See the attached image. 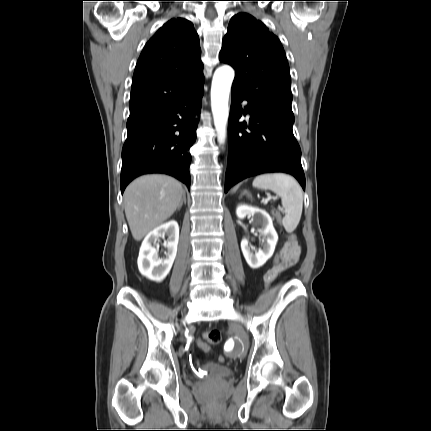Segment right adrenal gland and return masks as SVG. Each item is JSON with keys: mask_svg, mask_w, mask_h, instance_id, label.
Here are the masks:
<instances>
[{"mask_svg": "<svg viewBox=\"0 0 431 431\" xmlns=\"http://www.w3.org/2000/svg\"><path fill=\"white\" fill-rule=\"evenodd\" d=\"M183 203L186 204V194L185 193H183V198H182V201L178 207V210L182 207Z\"/></svg>", "mask_w": 431, "mask_h": 431, "instance_id": "2a0ac1e0", "label": "right adrenal gland"}]
</instances>
